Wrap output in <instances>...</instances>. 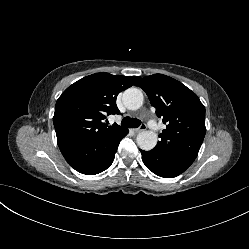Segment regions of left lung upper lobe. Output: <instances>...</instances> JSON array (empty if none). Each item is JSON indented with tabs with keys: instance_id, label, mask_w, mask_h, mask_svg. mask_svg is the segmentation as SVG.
<instances>
[{
	"instance_id": "1",
	"label": "left lung upper lobe",
	"mask_w": 249,
	"mask_h": 249,
	"mask_svg": "<svg viewBox=\"0 0 249 249\" xmlns=\"http://www.w3.org/2000/svg\"><path fill=\"white\" fill-rule=\"evenodd\" d=\"M136 86L146 92L157 116L167 125L153 150L195 159L206 131L205 107L197 95L163 74L144 77Z\"/></svg>"
}]
</instances>
